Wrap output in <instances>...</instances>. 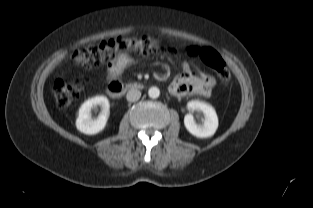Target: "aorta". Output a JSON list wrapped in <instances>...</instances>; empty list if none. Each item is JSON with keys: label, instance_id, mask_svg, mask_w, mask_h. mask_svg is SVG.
Returning a JSON list of instances; mask_svg holds the SVG:
<instances>
[{"label": "aorta", "instance_id": "aorta-1", "mask_svg": "<svg viewBox=\"0 0 313 208\" xmlns=\"http://www.w3.org/2000/svg\"><path fill=\"white\" fill-rule=\"evenodd\" d=\"M148 95H149L150 98H153V99L158 98L159 95H160V90H159V88H157V87H151V88H149V90H148Z\"/></svg>", "mask_w": 313, "mask_h": 208}]
</instances>
